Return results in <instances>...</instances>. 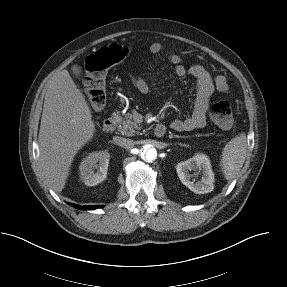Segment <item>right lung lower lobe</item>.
<instances>
[{"label": "right lung lower lobe", "instance_id": "obj_1", "mask_svg": "<svg viewBox=\"0 0 287 287\" xmlns=\"http://www.w3.org/2000/svg\"><path fill=\"white\" fill-rule=\"evenodd\" d=\"M72 205L74 207H76V208H80V209H84V210H86V209H95V208L101 207L99 205H96V206H83V207H81L80 205H76V204H72Z\"/></svg>", "mask_w": 287, "mask_h": 287}]
</instances>
